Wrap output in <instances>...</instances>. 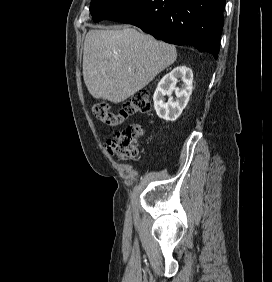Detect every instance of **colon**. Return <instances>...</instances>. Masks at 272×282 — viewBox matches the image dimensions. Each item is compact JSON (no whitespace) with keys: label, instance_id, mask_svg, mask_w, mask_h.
I'll use <instances>...</instances> for the list:
<instances>
[{"label":"colon","instance_id":"5ec220e1","mask_svg":"<svg viewBox=\"0 0 272 282\" xmlns=\"http://www.w3.org/2000/svg\"><path fill=\"white\" fill-rule=\"evenodd\" d=\"M93 113L97 119L110 127L121 126L114 131L105 141L108 151L121 159L130 161L138 156V140L142 135V128L138 124H124L125 121L137 114L146 113L151 109L148 94L146 92L134 93L119 109L112 111L108 103L93 105Z\"/></svg>","mask_w":272,"mask_h":282}]
</instances>
